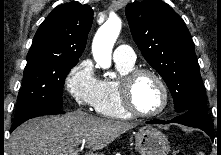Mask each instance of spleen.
<instances>
[{"mask_svg": "<svg viewBox=\"0 0 221 155\" xmlns=\"http://www.w3.org/2000/svg\"><path fill=\"white\" fill-rule=\"evenodd\" d=\"M199 155H204V153H202V152H199Z\"/></svg>", "mask_w": 221, "mask_h": 155, "instance_id": "spleen-1", "label": "spleen"}]
</instances>
